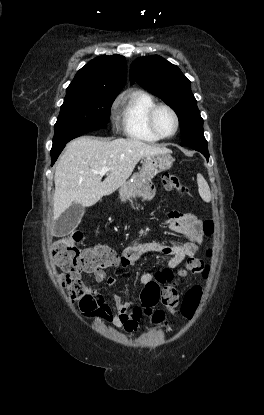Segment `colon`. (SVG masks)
<instances>
[{
	"label": "colon",
	"mask_w": 264,
	"mask_h": 415,
	"mask_svg": "<svg viewBox=\"0 0 264 415\" xmlns=\"http://www.w3.org/2000/svg\"><path fill=\"white\" fill-rule=\"evenodd\" d=\"M162 183L165 189L176 191L184 195L186 189L180 178L170 172L162 175ZM203 231L206 237H212L215 232L214 221L210 218L204 220ZM84 234L81 230L62 237L53 244L52 256L56 266L61 270L59 282L67 292L72 304L84 314L95 313L97 303L91 293L87 290L85 283L80 278V273L87 268L107 267L114 264L120 257L103 246L81 250L78 245L82 242ZM212 256V251H207V257ZM202 267V260L190 258L179 270L184 273H191ZM206 274V273H205ZM203 295L200 286L191 287L184 295L180 305L182 316L190 320L195 315ZM161 303L170 314L175 313L179 304V293L176 288L174 273L171 270H164L157 274L154 281L147 283L140 295V306L143 309L142 315L159 322L163 319V312L156 309Z\"/></svg>",
	"instance_id": "1"
}]
</instances>
